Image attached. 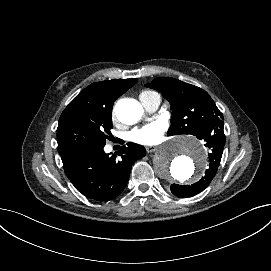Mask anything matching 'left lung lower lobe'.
<instances>
[{
	"instance_id": "obj_1",
	"label": "left lung lower lobe",
	"mask_w": 271,
	"mask_h": 271,
	"mask_svg": "<svg viewBox=\"0 0 271 271\" xmlns=\"http://www.w3.org/2000/svg\"><path fill=\"white\" fill-rule=\"evenodd\" d=\"M204 141L205 146L209 149V169L205 171V176L202 177L197 183L186 186L172 184L170 189L175 196L186 198L196 195L203 191L215 177L225 145V135L223 129H217L214 135H211Z\"/></svg>"
}]
</instances>
